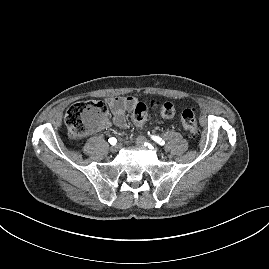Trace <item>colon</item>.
<instances>
[{"mask_svg": "<svg viewBox=\"0 0 269 269\" xmlns=\"http://www.w3.org/2000/svg\"><path fill=\"white\" fill-rule=\"evenodd\" d=\"M150 111L160 113L164 118L175 116V108L169 102L152 99L148 104L139 102L134 108L133 117L136 123L142 124ZM106 107L98 100L82 101L72 105L65 117L68 135L72 139H80L89 132L99 129L105 121ZM184 129L191 138L199 135V127L194 112L185 109L181 115Z\"/></svg>", "mask_w": 269, "mask_h": 269, "instance_id": "1", "label": "colon"}]
</instances>
